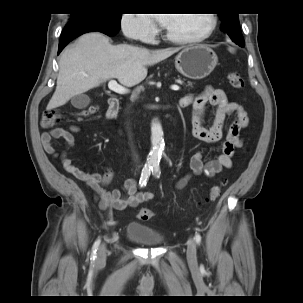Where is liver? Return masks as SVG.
Instances as JSON below:
<instances>
[{"instance_id": "6515ba94", "label": "liver", "mask_w": 303, "mask_h": 303, "mask_svg": "<svg viewBox=\"0 0 303 303\" xmlns=\"http://www.w3.org/2000/svg\"><path fill=\"white\" fill-rule=\"evenodd\" d=\"M176 51L114 46L102 33L84 34L61 55L56 90L47 109L60 107L112 78L126 87L135 86L146 78L147 66L167 59Z\"/></svg>"}]
</instances>
